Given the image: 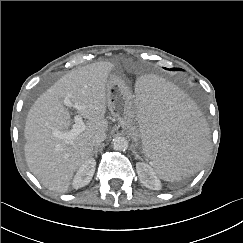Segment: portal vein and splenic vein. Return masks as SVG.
Segmentation results:
<instances>
[{
	"mask_svg": "<svg viewBox=\"0 0 243 243\" xmlns=\"http://www.w3.org/2000/svg\"><path fill=\"white\" fill-rule=\"evenodd\" d=\"M63 103L67 107H75V108L78 107V105L73 104L71 102V100H69L68 98H65ZM74 120H75V124L73 125V127L70 131L64 133V132L55 130L53 133L54 136H56L60 139H64L67 142H71L76 136L81 134L86 128L85 124L83 123L82 117L80 115H76L74 117Z\"/></svg>",
	"mask_w": 243,
	"mask_h": 243,
	"instance_id": "obj_1",
	"label": "portal vein and splenic vein"
}]
</instances>
